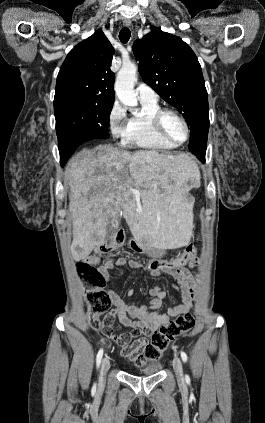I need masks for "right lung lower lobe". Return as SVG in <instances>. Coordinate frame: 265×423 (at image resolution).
Instances as JSON below:
<instances>
[{
	"instance_id": "98d812e1",
	"label": "right lung lower lobe",
	"mask_w": 265,
	"mask_h": 423,
	"mask_svg": "<svg viewBox=\"0 0 265 423\" xmlns=\"http://www.w3.org/2000/svg\"><path fill=\"white\" fill-rule=\"evenodd\" d=\"M88 140L91 139L83 135H72L69 138L65 139L63 142L67 149H69L71 152H74L78 146Z\"/></svg>"
}]
</instances>
